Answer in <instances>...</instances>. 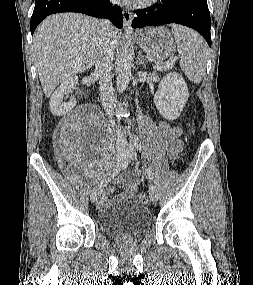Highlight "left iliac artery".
Here are the masks:
<instances>
[{"label":"left iliac artery","mask_w":253,"mask_h":285,"mask_svg":"<svg viewBox=\"0 0 253 285\" xmlns=\"http://www.w3.org/2000/svg\"><path fill=\"white\" fill-rule=\"evenodd\" d=\"M131 138H132V142H133V145L135 146V148L137 150L141 151L142 143H141V140L139 139V137L137 135H132ZM147 174H148L149 181H152L153 177H154V174H153V171H152L151 167L148 168Z\"/></svg>","instance_id":"1"}]
</instances>
